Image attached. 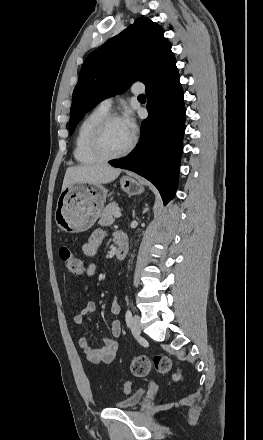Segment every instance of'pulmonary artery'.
Listing matches in <instances>:
<instances>
[{
    "instance_id": "pulmonary-artery-1",
    "label": "pulmonary artery",
    "mask_w": 263,
    "mask_h": 440,
    "mask_svg": "<svg viewBox=\"0 0 263 440\" xmlns=\"http://www.w3.org/2000/svg\"><path fill=\"white\" fill-rule=\"evenodd\" d=\"M143 91H144L143 87H138L137 85H133V87H132V92L134 94H141ZM111 105H112V99L107 98V99H104L103 101H101L99 106L104 108L105 110H109L111 108Z\"/></svg>"
}]
</instances>
